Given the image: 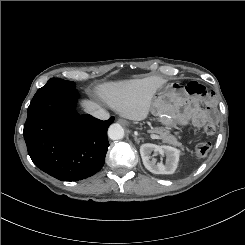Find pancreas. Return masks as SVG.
<instances>
[{
	"label": "pancreas",
	"mask_w": 245,
	"mask_h": 245,
	"mask_svg": "<svg viewBox=\"0 0 245 245\" xmlns=\"http://www.w3.org/2000/svg\"><path fill=\"white\" fill-rule=\"evenodd\" d=\"M152 133L159 134V139H161L164 143H168L173 146H177L181 149H183L182 144L178 141V139L170 134L168 131L162 129V128H153L151 130Z\"/></svg>",
	"instance_id": "obj_1"
}]
</instances>
